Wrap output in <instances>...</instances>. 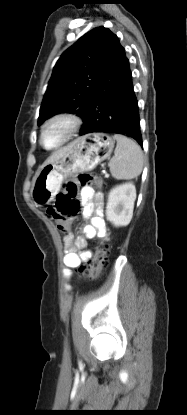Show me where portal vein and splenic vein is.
Masks as SVG:
<instances>
[{
	"mask_svg": "<svg viewBox=\"0 0 187 415\" xmlns=\"http://www.w3.org/2000/svg\"><path fill=\"white\" fill-rule=\"evenodd\" d=\"M105 177H109V175L108 174H105Z\"/></svg>",
	"mask_w": 187,
	"mask_h": 415,
	"instance_id": "18ae733b",
	"label": "portal vein and splenic vein"
}]
</instances>
